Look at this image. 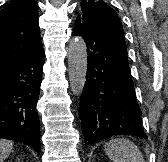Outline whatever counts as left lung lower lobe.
<instances>
[{"instance_id": "0a47b994", "label": "left lung lower lobe", "mask_w": 168, "mask_h": 162, "mask_svg": "<svg viewBox=\"0 0 168 162\" xmlns=\"http://www.w3.org/2000/svg\"><path fill=\"white\" fill-rule=\"evenodd\" d=\"M73 33L82 36L88 52L87 76L79 106L85 145L115 135L147 139L126 47L86 22L76 21Z\"/></svg>"}]
</instances>
